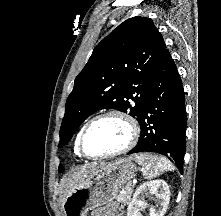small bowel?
Segmentation results:
<instances>
[{
  "label": "small bowel",
  "mask_w": 221,
  "mask_h": 216,
  "mask_svg": "<svg viewBox=\"0 0 221 216\" xmlns=\"http://www.w3.org/2000/svg\"><path fill=\"white\" fill-rule=\"evenodd\" d=\"M116 216H121L120 214H117Z\"/></svg>",
  "instance_id": "obj_1"
}]
</instances>
